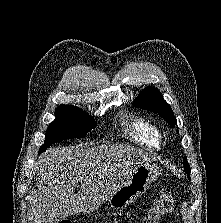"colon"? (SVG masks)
<instances>
[{
  "instance_id": "1",
  "label": "colon",
  "mask_w": 221,
  "mask_h": 223,
  "mask_svg": "<svg viewBox=\"0 0 221 223\" xmlns=\"http://www.w3.org/2000/svg\"><path fill=\"white\" fill-rule=\"evenodd\" d=\"M174 208V198L170 190H164L160 196L150 204L144 212L140 223H158L160 219L169 214ZM60 223H71L63 219Z\"/></svg>"
}]
</instances>
